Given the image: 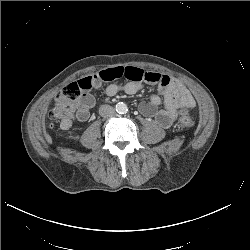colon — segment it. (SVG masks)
Returning <instances> with one entry per match:
<instances>
[{
	"instance_id": "1",
	"label": "colon",
	"mask_w": 250,
	"mask_h": 250,
	"mask_svg": "<svg viewBox=\"0 0 250 250\" xmlns=\"http://www.w3.org/2000/svg\"><path fill=\"white\" fill-rule=\"evenodd\" d=\"M81 94V88L74 82L65 86L56 96L49 111V117L57 120H69L76 108V102ZM194 126V119L186 109L178 114L176 127L181 131H188Z\"/></svg>"
}]
</instances>
